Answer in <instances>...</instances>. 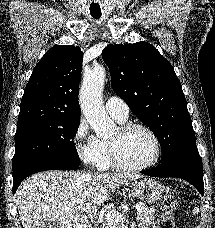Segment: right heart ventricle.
Returning <instances> with one entry per match:
<instances>
[{"mask_svg": "<svg viewBox=\"0 0 215 228\" xmlns=\"http://www.w3.org/2000/svg\"><path fill=\"white\" fill-rule=\"evenodd\" d=\"M113 118L118 121L119 123H123L125 121H122L118 119L117 117ZM99 142V156L97 160L95 161V165L99 167L100 169H107L109 168L112 163H111V158H110V152H109V142L104 139H98Z\"/></svg>", "mask_w": 215, "mask_h": 228, "instance_id": "1", "label": "right heart ventricle"}]
</instances>
